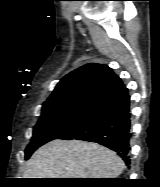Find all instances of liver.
Wrapping results in <instances>:
<instances>
[{"instance_id":"liver-1","label":"liver","mask_w":160,"mask_h":187,"mask_svg":"<svg viewBox=\"0 0 160 187\" xmlns=\"http://www.w3.org/2000/svg\"><path fill=\"white\" fill-rule=\"evenodd\" d=\"M124 168L112 150L96 143L55 139L28 160L25 178H115Z\"/></svg>"}]
</instances>
